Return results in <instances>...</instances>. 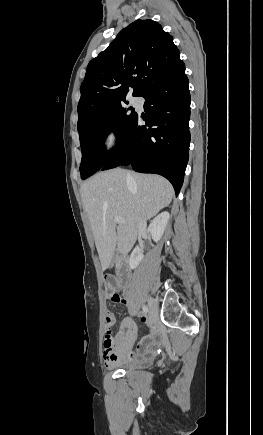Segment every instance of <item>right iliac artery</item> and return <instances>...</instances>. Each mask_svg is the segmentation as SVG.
I'll return each instance as SVG.
<instances>
[{"label":"right iliac artery","mask_w":263,"mask_h":435,"mask_svg":"<svg viewBox=\"0 0 263 435\" xmlns=\"http://www.w3.org/2000/svg\"><path fill=\"white\" fill-rule=\"evenodd\" d=\"M142 309H143L144 313H148L149 312V309H148V307L146 305H143Z\"/></svg>","instance_id":"82829eb1"}]
</instances>
